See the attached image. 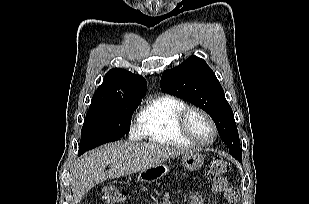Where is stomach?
Listing matches in <instances>:
<instances>
[{
    "label": "stomach",
    "mask_w": 309,
    "mask_h": 204,
    "mask_svg": "<svg viewBox=\"0 0 309 204\" xmlns=\"http://www.w3.org/2000/svg\"><path fill=\"white\" fill-rule=\"evenodd\" d=\"M204 163V157L198 151H188L182 156V165L188 171L198 170ZM172 168L171 161L166 160L138 174V179L144 183H153L166 175Z\"/></svg>",
    "instance_id": "stomach-1"
}]
</instances>
